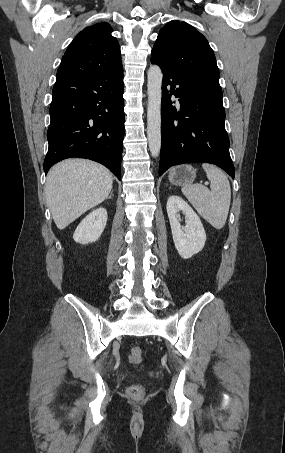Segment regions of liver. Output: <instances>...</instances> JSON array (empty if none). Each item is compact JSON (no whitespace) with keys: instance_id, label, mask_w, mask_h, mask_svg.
Listing matches in <instances>:
<instances>
[{"instance_id":"6515ba94","label":"liver","mask_w":285,"mask_h":453,"mask_svg":"<svg viewBox=\"0 0 285 453\" xmlns=\"http://www.w3.org/2000/svg\"><path fill=\"white\" fill-rule=\"evenodd\" d=\"M113 176L104 166L84 159H68L53 166L46 180V197L58 229L66 228L109 195Z\"/></svg>"}]
</instances>
